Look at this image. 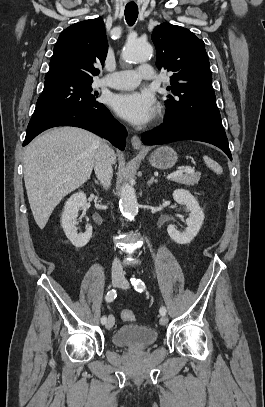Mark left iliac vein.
Segmentation results:
<instances>
[{
	"mask_svg": "<svg viewBox=\"0 0 265 407\" xmlns=\"http://www.w3.org/2000/svg\"><path fill=\"white\" fill-rule=\"evenodd\" d=\"M121 287L123 289L129 288L128 282L126 280H123L122 284H121ZM159 322H160L161 325H166L168 323V318L165 315H162Z\"/></svg>",
	"mask_w": 265,
	"mask_h": 407,
	"instance_id": "4c4485c4",
	"label": "left iliac vein"
}]
</instances>
